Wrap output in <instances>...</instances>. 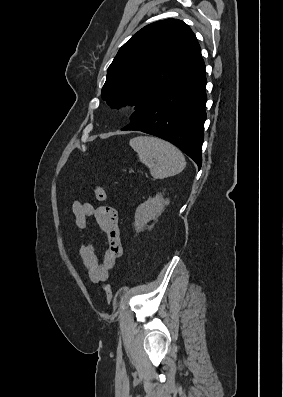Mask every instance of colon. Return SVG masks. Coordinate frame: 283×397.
I'll return each instance as SVG.
<instances>
[{
	"mask_svg": "<svg viewBox=\"0 0 283 397\" xmlns=\"http://www.w3.org/2000/svg\"><path fill=\"white\" fill-rule=\"evenodd\" d=\"M93 190H94V195L98 201L103 202L106 200L107 197L106 192L101 186L95 185ZM103 291L105 292L107 301L111 302L113 300L112 288L108 284H105L103 285Z\"/></svg>",
	"mask_w": 283,
	"mask_h": 397,
	"instance_id": "obj_1",
	"label": "colon"
}]
</instances>
